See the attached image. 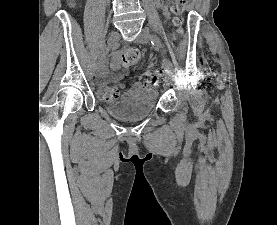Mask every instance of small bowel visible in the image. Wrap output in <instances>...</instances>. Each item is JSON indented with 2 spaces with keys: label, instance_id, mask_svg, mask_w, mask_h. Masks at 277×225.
<instances>
[{
  "label": "small bowel",
  "instance_id": "small-bowel-1",
  "mask_svg": "<svg viewBox=\"0 0 277 225\" xmlns=\"http://www.w3.org/2000/svg\"><path fill=\"white\" fill-rule=\"evenodd\" d=\"M156 2H157V4H158V6H159L161 9H163V11H164L165 13H167V3L165 2V0H156ZM151 66H153V64H152ZM119 67H120V66L113 64V69L117 70V69H119ZM98 75L101 76V77H103V78L109 77V73H108L107 70H106L105 64H103V65L100 66ZM122 76H123L122 74H119L117 77H118V78H121ZM135 87L138 88V87H140V85H136Z\"/></svg>",
  "mask_w": 277,
  "mask_h": 225
}]
</instances>
